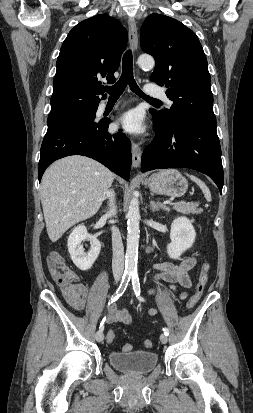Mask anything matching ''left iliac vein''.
<instances>
[{"mask_svg":"<svg viewBox=\"0 0 253 413\" xmlns=\"http://www.w3.org/2000/svg\"><path fill=\"white\" fill-rule=\"evenodd\" d=\"M160 341H161L163 344H166L167 341H168L167 336H166L165 334H161V335H160Z\"/></svg>","mask_w":253,"mask_h":413,"instance_id":"4c4485c4","label":"left iliac vein"}]
</instances>
